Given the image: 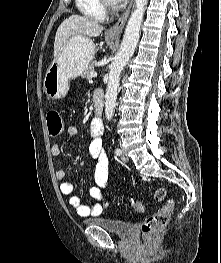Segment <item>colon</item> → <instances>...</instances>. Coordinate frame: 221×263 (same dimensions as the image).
<instances>
[{"label": "colon", "instance_id": "colon-1", "mask_svg": "<svg viewBox=\"0 0 221 263\" xmlns=\"http://www.w3.org/2000/svg\"><path fill=\"white\" fill-rule=\"evenodd\" d=\"M48 133L50 137H57L63 130V120L58 109L52 108L47 111L46 115ZM155 199L161 201L166 196V189L161 187L155 191ZM127 207L135 213H144L145 205L141 201L131 200ZM175 204L169 200L160 210L150 215L142 224V234L145 238L150 239L158 235L168 224Z\"/></svg>", "mask_w": 221, "mask_h": 263}]
</instances>
